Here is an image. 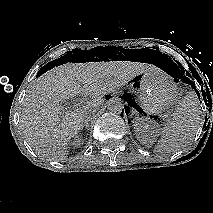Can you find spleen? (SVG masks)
<instances>
[{"instance_id": "1", "label": "spleen", "mask_w": 213, "mask_h": 213, "mask_svg": "<svg viewBox=\"0 0 213 213\" xmlns=\"http://www.w3.org/2000/svg\"><path fill=\"white\" fill-rule=\"evenodd\" d=\"M201 121V107L194 91H189L176 106L166 126L161 131L156 151H177L192 140Z\"/></svg>"}]
</instances>
